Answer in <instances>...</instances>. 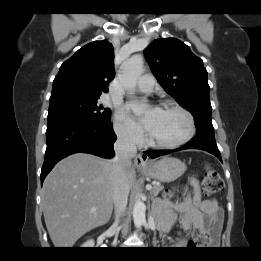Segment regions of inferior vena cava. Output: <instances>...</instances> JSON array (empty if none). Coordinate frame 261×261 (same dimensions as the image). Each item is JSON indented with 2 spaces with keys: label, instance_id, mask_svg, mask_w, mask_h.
Returning <instances> with one entry per match:
<instances>
[{
  "label": "inferior vena cava",
  "instance_id": "inferior-vena-cava-1",
  "mask_svg": "<svg viewBox=\"0 0 261 261\" xmlns=\"http://www.w3.org/2000/svg\"><path fill=\"white\" fill-rule=\"evenodd\" d=\"M113 163V202L115 207V224L120 222L128 201L130 188L126 181V170L131 166V159L136 156L135 138L130 133H122L114 144Z\"/></svg>",
  "mask_w": 261,
  "mask_h": 261
}]
</instances>
